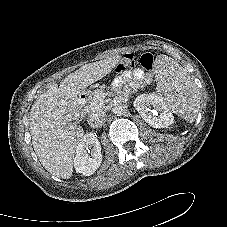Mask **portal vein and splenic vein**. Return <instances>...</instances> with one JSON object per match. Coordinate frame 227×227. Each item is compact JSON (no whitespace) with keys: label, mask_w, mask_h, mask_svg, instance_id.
<instances>
[{"label":"portal vein and splenic vein","mask_w":227,"mask_h":227,"mask_svg":"<svg viewBox=\"0 0 227 227\" xmlns=\"http://www.w3.org/2000/svg\"><path fill=\"white\" fill-rule=\"evenodd\" d=\"M97 99H98L99 102H102L103 101V99L100 98V97H98Z\"/></svg>","instance_id":"18ae733b"}]
</instances>
